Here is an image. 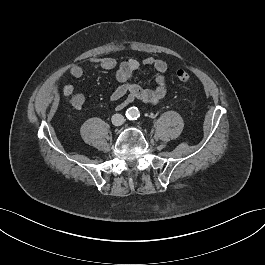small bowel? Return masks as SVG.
Instances as JSON below:
<instances>
[{
    "mask_svg": "<svg viewBox=\"0 0 265 265\" xmlns=\"http://www.w3.org/2000/svg\"><path fill=\"white\" fill-rule=\"evenodd\" d=\"M141 65L152 67L155 70L154 87L144 88L138 84L130 82L134 73L141 67ZM115 68H117L116 79L120 85L112 92L110 100L112 102L120 101L116 106L117 110H122L129 103L136 100L151 105H157L163 102L167 92L165 73L167 72L168 65L160 58L147 57L142 61L128 59L117 67V62L113 58L93 57L89 59L86 66L79 64L71 65L69 68V74L72 77L80 78L93 69L113 70ZM62 92L65 96L70 97V103L73 108L80 109L83 106L85 102L84 95L81 93H74L72 85H63Z\"/></svg>",
    "mask_w": 265,
    "mask_h": 265,
    "instance_id": "obj_1",
    "label": "small bowel"
}]
</instances>
